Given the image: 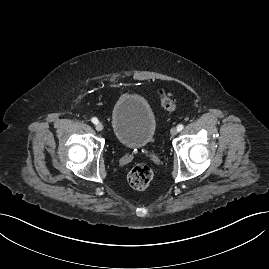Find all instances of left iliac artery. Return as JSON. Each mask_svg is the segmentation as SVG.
I'll return each instance as SVG.
<instances>
[{"label":"left iliac artery","mask_w":269,"mask_h":269,"mask_svg":"<svg viewBox=\"0 0 269 269\" xmlns=\"http://www.w3.org/2000/svg\"><path fill=\"white\" fill-rule=\"evenodd\" d=\"M183 128H184V125H183V124H179V125L177 126L178 131H181Z\"/></svg>","instance_id":"obj_1"}]
</instances>
